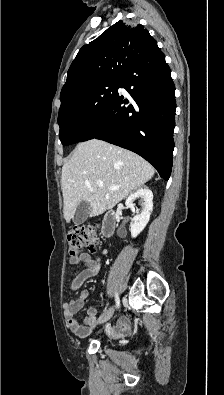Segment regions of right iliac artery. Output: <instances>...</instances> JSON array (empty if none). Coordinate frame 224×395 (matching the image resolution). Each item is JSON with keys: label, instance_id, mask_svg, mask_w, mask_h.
Instances as JSON below:
<instances>
[{"label": "right iliac artery", "instance_id": "obj_1", "mask_svg": "<svg viewBox=\"0 0 224 395\" xmlns=\"http://www.w3.org/2000/svg\"><path fill=\"white\" fill-rule=\"evenodd\" d=\"M115 302H116V308H118L120 305V300H119L118 294H115Z\"/></svg>", "mask_w": 224, "mask_h": 395}]
</instances>
